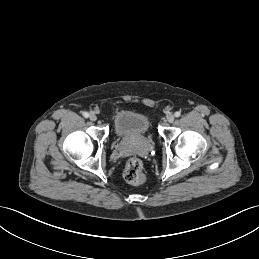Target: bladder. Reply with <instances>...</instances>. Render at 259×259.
Returning a JSON list of instances; mask_svg holds the SVG:
<instances>
[{
	"label": "bladder",
	"instance_id": "1",
	"mask_svg": "<svg viewBox=\"0 0 259 259\" xmlns=\"http://www.w3.org/2000/svg\"><path fill=\"white\" fill-rule=\"evenodd\" d=\"M113 129L118 137L137 138L149 134L151 123L143 114L122 111L114 117Z\"/></svg>",
	"mask_w": 259,
	"mask_h": 259
}]
</instances>
